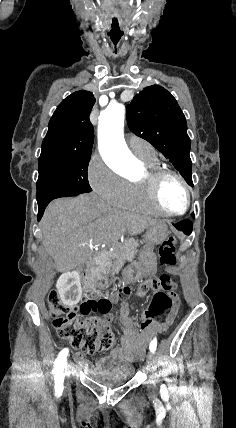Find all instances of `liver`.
<instances>
[{
    "mask_svg": "<svg viewBox=\"0 0 236 428\" xmlns=\"http://www.w3.org/2000/svg\"><path fill=\"white\" fill-rule=\"evenodd\" d=\"M157 224L148 216L120 212L96 194L59 198L47 206L40 228L42 244L58 272L74 270L91 258L96 244H117L124 232L141 234Z\"/></svg>",
    "mask_w": 236,
    "mask_h": 428,
    "instance_id": "liver-1",
    "label": "liver"
}]
</instances>
